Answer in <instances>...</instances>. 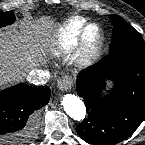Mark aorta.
Returning a JSON list of instances; mask_svg holds the SVG:
<instances>
[{
  "label": "aorta",
  "mask_w": 145,
  "mask_h": 145,
  "mask_svg": "<svg viewBox=\"0 0 145 145\" xmlns=\"http://www.w3.org/2000/svg\"><path fill=\"white\" fill-rule=\"evenodd\" d=\"M62 102L64 111L67 115L76 121L84 120L86 116V107L79 97L67 94L63 97Z\"/></svg>",
  "instance_id": "aorta-1"
}]
</instances>
